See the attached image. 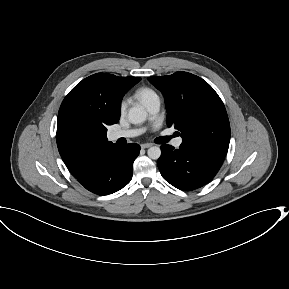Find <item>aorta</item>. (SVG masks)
<instances>
[{
    "mask_svg": "<svg viewBox=\"0 0 289 289\" xmlns=\"http://www.w3.org/2000/svg\"><path fill=\"white\" fill-rule=\"evenodd\" d=\"M147 118V112L142 106L131 107L128 111V119L132 124H141ZM148 156L151 159H158L161 156V149L158 146H152L148 149Z\"/></svg>",
    "mask_w": 289,
    "mask_h": 289,
    "instance_id": "1",
    "label": "aorta"
}]
</instances>
